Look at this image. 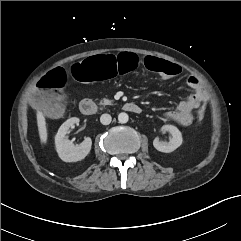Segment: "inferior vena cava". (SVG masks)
<instances>
[{
  "instance_id": "1",
  "label": "inferior vena cava",
  "mask_w": 241,
  "mask_h": 241,
  "mask_svg": "<svg viewBox=\"0 0 241 241\" xmlns=\"http://www.w3.org/2000/svg\"><path fill=\"white\" fill-rule=\"evenodd\" d=\"M112 117L109 114H102L100 117V122L103 125H109L111 123Z\"/></svg>"
}]
</instances>
